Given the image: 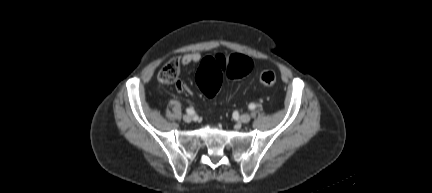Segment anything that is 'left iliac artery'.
<instances>
[{
    "label": "left iliac artery",
    "mask_w": 432,
    "mask_h": 193,
    "mask_svg": "<svg viewBox=\"0 0 432 193\" xmlns=\"http://www.w3.org/2000/svg\"><path fill=\"white\" fill-rule=\"evenodd\" d=\"M248 107L250 110H254L256 106L254 103H250Z\"/></svg>",
    "instance_id": "1"
}]
</instances>
